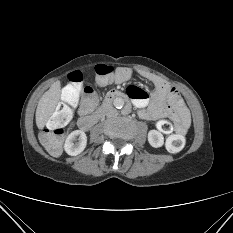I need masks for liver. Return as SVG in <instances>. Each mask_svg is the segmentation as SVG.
I'll use <instances>...</instances> for the list:
<instances>
[{
    "label": "liver",
    "instance_id": "obj_1",
    "mask_svg": "<svg viewBox=\"0 0 233 233\" xmlns=\"http://www.w3.org/2000/svg\"><path fill=\"white\" fill-rule=\"evenodd\" d=\"M61 96L60 81L54 82L38 102L36 109V125L43 129L50 117L52 116Z\"/></svg>",
    "mask_w": 233,
    "mask_h": 233
}]
</instances>
